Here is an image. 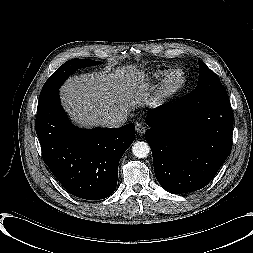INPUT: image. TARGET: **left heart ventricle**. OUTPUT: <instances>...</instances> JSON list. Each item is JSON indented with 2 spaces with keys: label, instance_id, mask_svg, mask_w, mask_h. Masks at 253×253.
I'll return each instance as SVG.
<instances>
[{
  "label": "left heart ventricle",
  "instance_id": "1",
  "mask_svg": "<svg viewBox=\"0 0 253 253\" xmlns=\"http://www.w3.org/2000/svg\"><path fill=\"white\" fill-rule=\"evenodd\" d=\"M180 81V78L178 76H174L172 79H171V85H176L178 84Z\"/></svg>",
  "mask_w": 253,
  "mask_h": 253
}]
</instances>
